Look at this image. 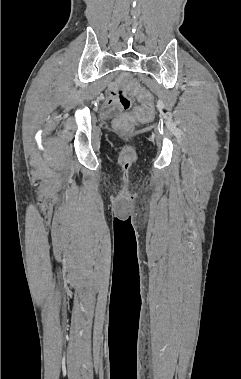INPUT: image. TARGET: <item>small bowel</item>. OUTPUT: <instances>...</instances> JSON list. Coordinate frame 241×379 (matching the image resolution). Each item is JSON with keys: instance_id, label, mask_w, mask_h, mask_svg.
<instances>
[{"instance_id": "obj_1", "label": "small bowel", "mask_w": 241, "mask_h": 379, "mask_svg": "<svg viewBox=\"0 0 241 379\" xmlns=\"http://www.w3.org/2000/svg\"><path fill=\"white\" fill-rule=\"evenodd\" d=\"M118 92L116 91V87L115 86H112L111 89H110V92L108 93V96H107V99H106V102H105V107L107 109H111L115 106V103H116V94Z\"/></svg>"}]
</instances>
